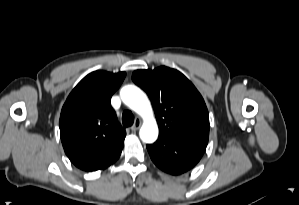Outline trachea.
<instances>
[{"instance_id": "3493384b", "label": "trachea", "mask_w": 299, "mask_h": 205, "mask_svg": "<svg viewBox=\"0 0 299 205\" xmlns=\"http://www.w3.org/2000/svg\"><path fill=\"white\" fill-rule=\"evenodd\" d=\"M122 123L124 127H129L134 123V116L131 111L126 110L122 114Z\"/></svg>"}]
</instances>
